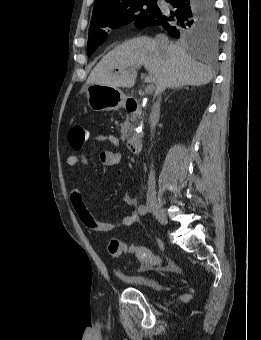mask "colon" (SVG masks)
<instances>
[{
	"label": "colon",
	"instance_id": "obj_1",
	"mask_svg": "<svg viewBox=\"0 0 261 340\" xmlns=\"http://www.w3.org/2000/svg\"><path fill=\"white\" fill-rule=\"evenodd\" d=\"M86 139L87 130L82 125L74 124L69 128L68 141L74 150L81 149ZM108 252L115 258H119L125 253H131L147 266L158 267L167 271H177V267L173 262L161 259L145 247L126 245L119 239H112L109 242Z\"/></svg>",
	"mask_w": 261,
	"mask_h": 340
}]
</instances>
